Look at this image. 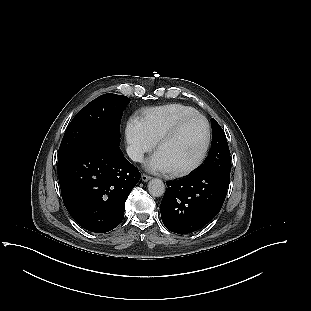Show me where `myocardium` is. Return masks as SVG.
<instances>
[{
    "label": "myocardium",
    "mask_w": 311,
    "mask_h": 311,
    "mask_svg": "<svg viewBox=\"0 0 311 311\" xmlns=\"http://www.w3.org/2000/svg\"><path fill=\"white\" fill-rule=\"evenodd\" d=\"M196 118L201 119L205 125V142H204L203 148H202L199 156L191 164H189L185 167H182V168L171 170L170 172L174 176L186 175V174L194 171L195 169H197L202 164V162L204 161V159L208 153L210 144H211V127H210L209 121L207 120V118L204 115H202L198 112L184 116V117L180 118L179 120H177L156 141V149L158 150L161 144H163L166 141L173 139L178 134L180 129L187 122H189L190 120L196 119Z\"/></svg>",
    "instance_id": "f54148a6"
}]
</instances>
